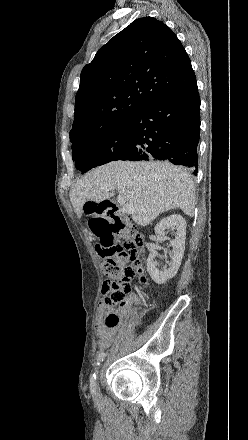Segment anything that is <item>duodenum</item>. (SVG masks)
Masks as SVG:
<instances>
[{
	"mask_svg": "<svg viewBox=\"0 0 248 440\" xmlns=\"http://www.w3.org/2000/svg\"><path fill=\"white\" fill-rule=\"evenodd\" d=\"M101 204H103L107 210L117 209L116 205L112 201H109V200H104V201H102Z\"/></svg>",
	"mask_w": 248,
	"mask_h": 440,
	"instance_id": "duodenum-1",
	"label": "duodenum"
}]
</instances>
